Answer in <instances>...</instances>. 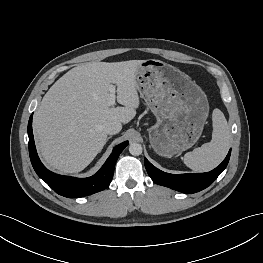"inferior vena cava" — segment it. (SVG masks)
Masks as SVG:
<instances>
[{"instance_id": "obj_1", "label": "inferior vena cava", "mask_w": 263, "mask_h": 263, "mask_svg": "<svg viewBox=\"0 0 263 263\" xmlns=\"http://www.w3.org/2000/svg\"><path fill=\"white\" fill-rule=\"evenodd\" d=\"M121 129H122V124L117 121L108 123L104 128L105 132L109 135L117 134L121 131Z\"/></svg>"}]
</instances>
